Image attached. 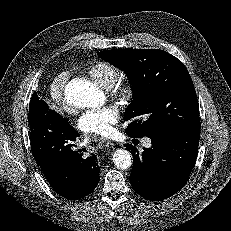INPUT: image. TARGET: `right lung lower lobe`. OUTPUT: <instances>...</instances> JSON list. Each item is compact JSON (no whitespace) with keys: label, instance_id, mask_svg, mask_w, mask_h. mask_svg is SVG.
<instances>
[{"label":"right lung lower lobe","instance_id":"right-lung-lower-lobe-1","mask_svg":"<svg viewBox=\"0 0 231 231\" xmlns=\"http://www.w3.org/2000/svg\"><path fill=\"white\" fill-rule=\"evenodd\" d=\"M33 100L37 103L30 124V141L36 163L53 190L62 197L77 200L87 196L100 179L97 157L75 150L73 142L79 137L78 132L60 114L50 110L46 102L39 100L36 92Z\"/></svg>","mask_w":231,"mask_h":231}]
</instances>
